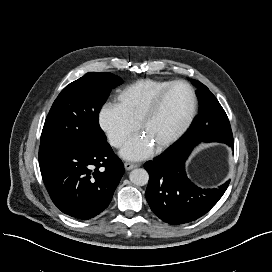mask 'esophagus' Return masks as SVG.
Here are the masks:
<instances>
[{
  "label": "esophagus",
  "mask_w": 272,
  "mask_h": 272,
  "mask_svg": "<svg viewBox=\"0 0 272 272\" xmlns=\"http://www.w3.org/2000/svg\"><path fill=\"white\" fill-rule=\"evenodd\" d=\"M124 166H125V169H126V170H132V169H134V168L139 167L140 164H138V163L126 162V163L124 164Z\"/></svg>",
  "instance_id": "obj_1"
}]
</instances>
